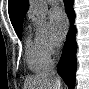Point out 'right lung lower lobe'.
<instances>
[{
    "label": "right lung lower lobe",
    "mask_w": 89,
    "mask_h": 89,
    "mask_svg": "<svg viewBox=\"0 0 89 89\" xmlns=\"http://www.w3.org/2000/svg\"><path fill=\"white\" fill-rule=\"evenodd\" d=\"M66 13L71 21V28L66 37V42L64 44L61 59L58 63V73L67 84V86L72 89L75 86V71H76V50L77 45L75 41L76 29L73 25L75 13L73 10V0H64Z\"/></svg>",
    "instance_id": "98d812e1"
}]
</instances>
